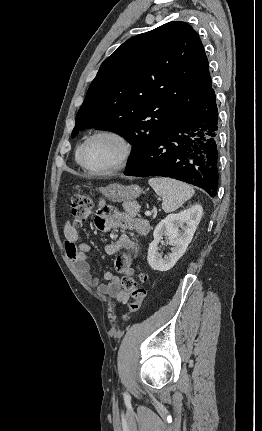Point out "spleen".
Wrapping results in <instances>:
<instances>
[{
    "mask_svg": "<svg viewBox=\"0 0 262 431\" xmlns=\"http://www.w3.org/2000/svg\"><path fill=\"white\" fill-rule=\"evenodd\" d=\"M148 183L163 198L162 209L166 213L177 210L194 195V189L190 185L175 179L152 177Z\"/></svg>",
    "mask_w": 262,
    "mask_h": 431,
    "instance_id": "spleen-1",
    "label": "spleen"
}]
</instances>
